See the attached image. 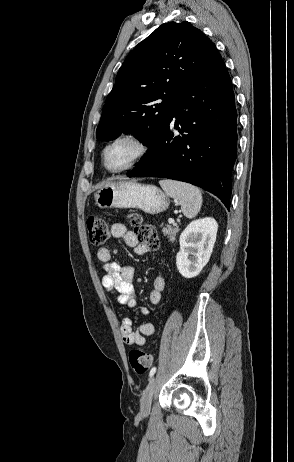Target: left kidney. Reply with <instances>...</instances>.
<instances>
[{
  "label": "left kidney",
  "mask_w": 294,
  "mask_h": 462,
  "mask_svg": "<svg viewBox=\"0 0 294 462\" xmlns=\"http://www.w3.org/2000/svg\"><path fill=\"white\" fill-rule=\"evenodd\" d=\"M218 230L214 218L197 219L180 235V250L176 255L179 273L185 278L196 277L208 263Z\"/></svg>",
  "instance_id": "1"
}]
</instances>
